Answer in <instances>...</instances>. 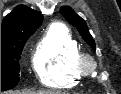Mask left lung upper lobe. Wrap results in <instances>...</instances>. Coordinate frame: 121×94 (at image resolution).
Masks as SVG:
<instances>
[{"label": "left lung upper lobe", "mask_w": 121, "mask_h": 94, "mask_svg": "<svg viewBox=\"0 0 121 94\" xmlns=\"http://www.w3.org/2000/svg\"><path fill=\"white\" fill-rule=\"evenodd\" d=\"M60 13L68 20L70 24L78 29L83 39L95 49V42L88 31L85 21L79 17L70 7H61Z\"/></svg>", "instance_id": "obj_1"}]
</instances>
